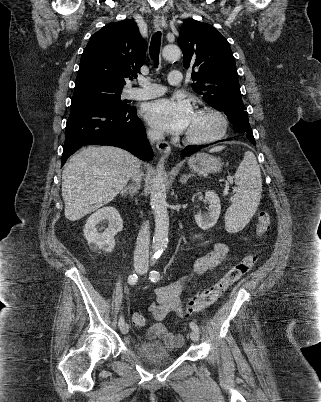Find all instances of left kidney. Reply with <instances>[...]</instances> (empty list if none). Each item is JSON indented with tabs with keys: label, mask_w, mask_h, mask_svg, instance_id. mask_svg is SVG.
Listing matches in <instances>:
<instances>
[{
	"label": "left kidney",
	"mask_w": 321,
	"mask_h": 402,
	"mask_svg": "<svg viewBox=\"0 0 321 402\" xmlns=\"http://www.w3.org/2000/svg\"><path fill=\"white\" fill-rule=\"evenodd\" d=\"M205 198L209 202V212L204 214L201 212L197 213L195 221L201 229L208 230L217 223L221 212V204L220 198L213 191H205Z\"/></svg>",
	"instance_id": "5707ae66"
}]
</instances>
